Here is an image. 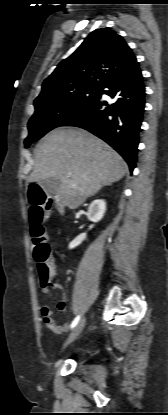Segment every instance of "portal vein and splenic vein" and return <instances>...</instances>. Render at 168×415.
<instances>
[{"label": "portal vein and splenic vein", "mask_w": 168, "mask_h": 415, "mask_svg": "<svg viewBox=\"0 0 168 415\" xmlns=\"http://www.w3.org/2000/svg\"><path fill=\"white\" fill-rule=\"evenodd\" d=\"M69 175H71V173H69ZM73 187H75L76 185H72Z\"/></svg>", "instance_id": "portal-vein-and-splenic-vein-1"}]
</instances>
